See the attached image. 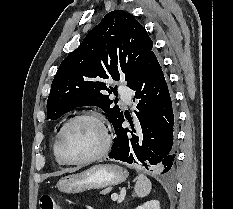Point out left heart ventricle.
Segmentation results:
<instances>
[{
	"instance_id": "1",
	"label": "left heart ventricle",
	"mask_w": 233,
	"mask_h": 209,
	"mask_svg": "<svg viewBox=\"0 0 233 209\" xmlns=\"http://www.w3.org/2000/svg\"><path fill=\"white\" fill-rule=\"evenodd\" d=\"M103 144V132L93 120L74 122L66 130L61 150L65 157L76 160L96 153Z\"/></svg>"
}]
</instances>
